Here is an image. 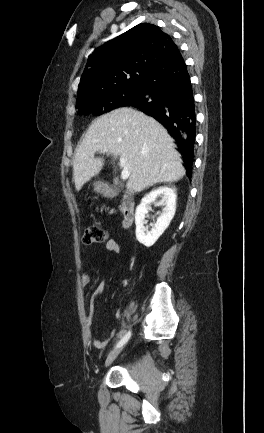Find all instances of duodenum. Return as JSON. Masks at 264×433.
Returning <instances> with one entry per match:
<instances>
[{
    "label": "duodenum",
    "mask_w": 264,
    "mask_h": 433,
    "mask_svg": "<svg viewBox=\"0 0 264 433\" xmlns=\"http://www.w3.org/2000/svg\"><path fill=\"white\" fill-rule=\"evenodd\" d=\"M105 195L109 198H121L122 227L129 228L135 219L136 203L133 196L127 192L119 193L112 187L105 189Z\"/></svg>",
    "instance_id": "duodenum-1"
}]
</instances>
